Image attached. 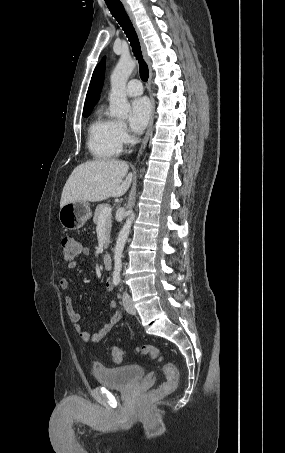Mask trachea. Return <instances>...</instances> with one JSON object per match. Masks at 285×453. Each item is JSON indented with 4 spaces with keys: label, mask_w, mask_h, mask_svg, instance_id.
Returning a JSON list of instances; mask_svg holds the SVG:
<instances>
[{
    "label": "trachea",
    "mask_w": 285,
    "mask_h": 453,
    "mask_svg": "<svg viewBox=\"0 0 285 453\" xmlns=\"http://www.w3.org/2000/svg\"><path fill=\"white\" fill-rule=\"evenodd\" d=\"M105 1H106V5H107L108 9L110 10L112 16L120 24V26L124 30L128 40L130 42L134 56L136 57V59L139 62L140 78L143 81H147L148 77H149L148 66L142 58L141 50H140V43H139L137 34L135 32V29H134L122 3L119 0H105Z\"/></svg>",
    "instance_id": "obj_1"
}]
</instances>
